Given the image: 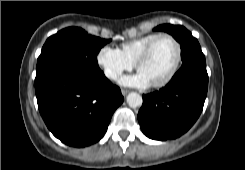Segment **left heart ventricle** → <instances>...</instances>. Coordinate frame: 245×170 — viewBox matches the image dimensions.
<instances>
[{"label":"left heart ventricle","instance_id":"b2bd125f","mask_svg":"<svg viewBox=\"0 0 245 170\" xmlns=\"http://www.w3.org/2000/svg\"><path fill=\"white\" fill-rule=\"evenodd\" d=\"M177 50L169 38H161L154 45L149 57L140 65L139 72L142 73L149 83L162 80L171 70Z\"/></svg>","mask_w":245,"mask_h":170}]
</instances>
